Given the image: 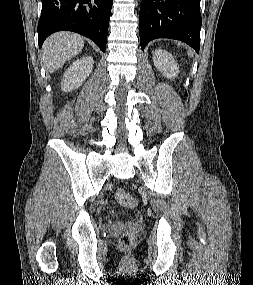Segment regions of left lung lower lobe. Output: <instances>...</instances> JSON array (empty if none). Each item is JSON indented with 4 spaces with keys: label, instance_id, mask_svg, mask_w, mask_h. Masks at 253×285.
<instances>
[{
    "label": "left lung lower lobe",
    "instance_id": "0a47b994",
    "mask_svg": "<svg viewBox=\"0 0 253 285\" xmlns=\"http://www.w3.org/2000/svg\"><path fill=\"white\" fill-rule=\"evenodd\" d=\"M139 27L142 50L153 39L170 38L199 52L200 0H142Z\"/></svg>",
    "mask_w": 253,
    "mask_h": 285
}]
</instances>
